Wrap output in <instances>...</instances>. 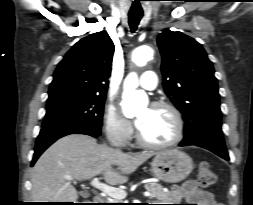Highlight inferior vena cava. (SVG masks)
<instances>
[{
	"label": "inferior vena cava",
	"mask_w": 253,
	"mask_h": 205,
	"mask_svg": "<svg viewBox=\"0 0 253 205\" xmlns=\"http://www.w3.org/2000/svg\"><path fill=\"white\" fill-rule=\"evenodd\" d=\"M112 144H114V145H115V142H114V141H112Z\"/></svg>",
	"instance_id": "1"
}]
</instances>
